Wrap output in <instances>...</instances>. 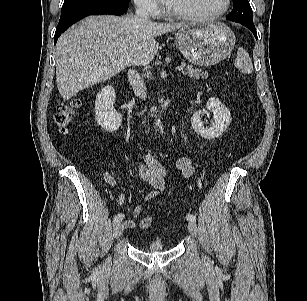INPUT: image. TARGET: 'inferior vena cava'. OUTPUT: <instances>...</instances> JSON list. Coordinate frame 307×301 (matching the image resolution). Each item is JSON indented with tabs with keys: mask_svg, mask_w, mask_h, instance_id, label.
I'll list each match as a JSON object with an SVG mask.
<instances>
[{
	"mask_svg": "<svg viewBox=\"0 0 307 301\" xmlns=\"http://www.w3.org/2000/svg\"><path fill=\"white\" fill-rule=\"evenodd\" d=\"M135 14H136V17L140 19L149 20L148 13L141 6H137ZM128 80L133 88L135 95L139 96L142 100H145L146 99V86L140 74L136 72L135 70L130 69L128 71ZM144 123L145 121H143V124Z\"/></svg>",
	"mask_w": 307,
	"mask_h": 301,
	"instance_id": "602c4592",
	"label": "inferior vena cava"
}]
</instances>
